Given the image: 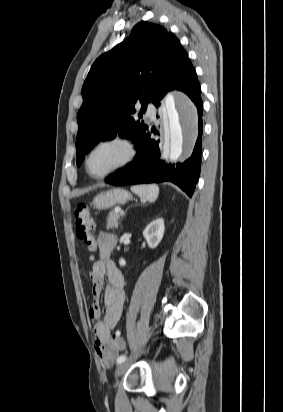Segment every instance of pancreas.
<instances>
[{
    "mask_svg": "<svg viewBox=\"0 0 283 412\" xmlns=\"http://www.w3.org/2000/svg\"><path fill=\"white\" fill-rule=\"evenodd\" d=\"M120 219V214L111 211L107 217V227L111 229H116L118 227V221Z\"/></svg>",
    "mask_w": 283,
    "mask_h": 412,
    "instance_id": "obj_1",
    "label": "pancreas"
}]
</instances>
